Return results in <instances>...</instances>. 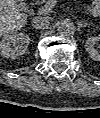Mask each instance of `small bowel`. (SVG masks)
<instances>
[{
  "label": "small bowel",
  "instance_id": "c3829d8e",
  "mask_svg": "<svg viewBox=\"0 0 100 118\" xmlns=\"http://www.w3.org/2000/svg\"><path fill=\"white\" fill-rule=\"evenodd\" d=\"M80 6L85 11L96 12L99 8V2L96 0L91 4L82 3V4H80Z\"/></svg>",
  "mask_w": 100,
  "mask_h": 118
}]
</instances>
